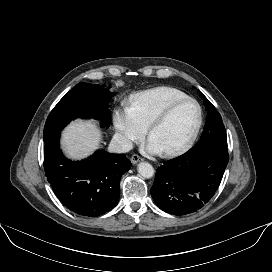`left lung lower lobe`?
<instances>
[{
	"label": "left lung lower lobe",
	"mask_w": 272,
	"mask_h": 272,
	"mask_svg": "<svg viewBox=\"0 0 272 272\" xmlns=\"http://www.w3.org/2000/svg\"><path fill=\"white\" fill-rule=\"evenodd\" d=\"M228 163V152L193 146L156 170L151 195L156 205L174 215L201 209L213 197Z\"/></svg>",
	"instance_id": "obj_1"
}]
</instances>
